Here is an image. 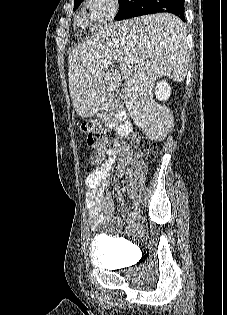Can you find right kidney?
I'll list each match as a JSON object with an SVG mask.
<instances>
[{
    "instance_id": "ca27d5eb",
    "label": "right kidney",
    "mask_w": 227,
    "mask_h": 315,
    "mask_svg": "<svg viewBox=\"0 0 227 315\" xmlns=\"http://www.w3.org/2000/svg\"><path fill=\"white\" fill-rule=\"evenodd\" d=\"M154 94L158 100L166 101L170 97L171 87L166 81L162 80L155 86Z\"/></svg>"
}]
</instances>
